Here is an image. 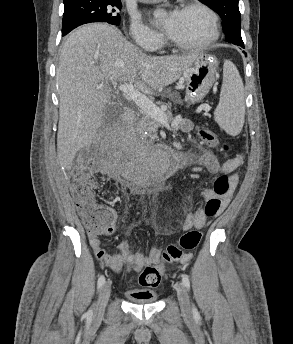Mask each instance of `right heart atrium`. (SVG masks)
I'll return each instance as SVG.
<instances>
[{
  "instance_id": "d8ad5b80",
  "label": "right heart atrium",
  "mask_w": 293,
  "mask_h": 344,
  "mask_svg": "<svg viewBox=\"0 0 293 344\" xmlns=\"http://www.w3.org/2000/svg\"><path fill=\"white\" fill-rule=\"evenodd\" d=\"M128 32L130 38L139 49L154 51L163 43V38L159 33L143 24L136 17H132Z\"/></svg>"
}]
</instances>
